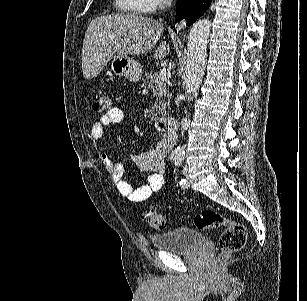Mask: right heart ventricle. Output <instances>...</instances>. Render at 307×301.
I'll list each match as a JSON object with an SVG mask.
<instances>
[{"instance_id":"e07e8e85","label":"right heart ventricle","mask_w":307,"mask_h":301,"mask_svg":"<svg viewBox=\"0 0 307 301\" xmlns=\"http://www.w3.org/2000/svg\"><path fill=\"white\" fill-rule=\"evenodd\" d=\"M121 12H136V8H142V0H119Z\"/></svg>"}]
</instances>
